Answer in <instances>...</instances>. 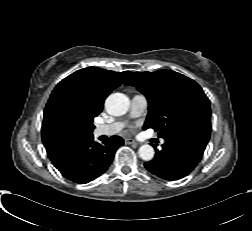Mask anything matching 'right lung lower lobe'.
<instances>
[{
  "mask_svg": "<svg viewBox=\"0 0 252 231\" xmlns=\"http://www.w3.org/2000/svg\"><path fill=\"white\" fill-rule=\"evenodd\" d=\"M123 143L119 136L110 137L103 145L95 142L92 134L80 137L68 146L63 160L55 167L75 183H88L107 170Z\"/></svg>",
  "mask_w": 252,
  "mask_h": 231,
  "instance_id": "1",
  "label": "right lung lower lobe"
}]
</instances>
